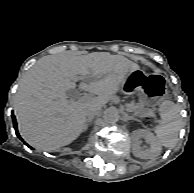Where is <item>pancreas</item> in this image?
I'll return each mask as SVG.
<instances>
[{"mask_svg": "<svg viewBox=\"0 0 194 193\" xmlns=\"http://www.w3.org/2000/svg\"><path fill=\"white\" fill-rule=\"evenodd\" d=\"M126 110L128 112H132V116L137 117H144V116H151L153 111L150 109H145L142 106H138L135 102H128L126 105Z\"/></svg>", "mask_w": 194, "mask_h": 193, "instance_id": "obj_1", "label": "pancreas"}]
</instances>
